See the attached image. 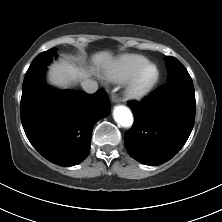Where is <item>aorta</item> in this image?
I'll use <instances>...</instances> for the list:
<instances>
[{
    "label": "aorta",
    "mask_w": 222,
    "mask_h": 222,
    "mask_svg": "<svg viewBox=\"0 0 222 222\" xmlns=\"http://www.w3.org/2000/svg\"><path fill=\"white\" fill-rule=\"evenodd\" d=\"M113 118L118 125L124 128H130L133 125V114L126 106H116L113 111Z\"/></svg>",
    "instance_id": "1"
}]
</instances>
